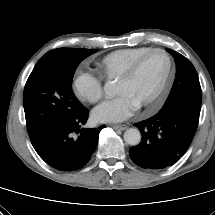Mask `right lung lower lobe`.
<instances>
[{
  "label": "right lung lower lobe",
  "mask_w": 215,
  "mask_h": 215,
  "mask_svg": "<svg viewBox=\"0 0 215 215\" xmlns=\"http://www.w3.org/2000/svg\"><path fill=\"white\" fill-rule=\"evenodd\" d=\"M88 110L66 119L31 139L38 155L50 166L60 171H75L90 160L98 143V128H81L87 122ZM78 134V135H76Z\"/></svg>",
  "instance_id": "right-lung-lower-lobe-1"
}]
</instances>
